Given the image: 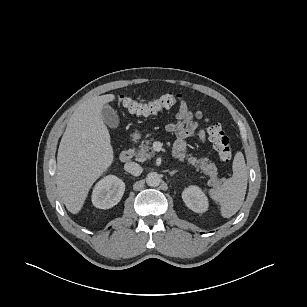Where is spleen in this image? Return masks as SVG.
<instances>
[{
    "instance_id": "3e777b00",
    "label": "spleen",
    "mask_w": 307,
    "mask_h": 307,
    "mask_svg": "<svg viewBox=\"0 0 307 307\" xmlns=\"http://www.w3.org/2000/svg\"><path fill=\"white\" fill-rule=\"evenodd\" d=\"M233 175L221 187L209 190L210 197L221 206V215L233 216L242 206L247 189V167L244 155L238 151L233 160Z\"/></svg>"
}]
</instances>
